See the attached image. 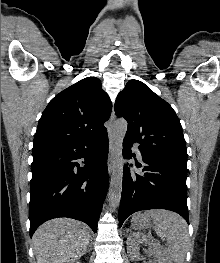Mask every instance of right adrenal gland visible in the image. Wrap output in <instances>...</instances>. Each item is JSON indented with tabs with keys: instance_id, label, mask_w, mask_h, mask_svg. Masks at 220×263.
<instances>
[{
	"instance_id": "2a0ac1e0",
	"label": "right adrenal gland",
	"mask_w": 220,
	"mask_h": 263,
	"mask_svg": "<svg viewBox=\"0 0 220 263\" xmlns=\"http://www.w3.org/2000/svg\"><path fill=\"white\" fill-rule=\"evenodd\" d=\"M92 242V241H91ZM90 249H91V244H89V246H88Z\"/></svg>"
}]
</instances>
